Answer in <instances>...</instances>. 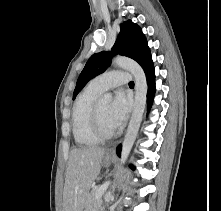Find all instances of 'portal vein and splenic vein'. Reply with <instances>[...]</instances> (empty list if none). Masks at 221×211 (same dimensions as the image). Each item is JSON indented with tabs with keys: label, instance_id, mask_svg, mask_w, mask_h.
<instances>
[{
	"label": "portal vein and splenic vein",
	"instance_id": "portal-vein-and-splenic-vein-1",
	"mask_svg": "<svg viewBox=\"0 0 221 211\" xmlns=\"http://www.w3.org/2000/svg\"><path fill=\"white\" fill-rule=\"evenodd\" d=\"M110 182H105L103 185H101L96 193V199H99L103 196V194L106 192L108 186H109Z\"/></svg>",
	"mask_w": 221,
	"mask_h": 211
}]
</instances>
